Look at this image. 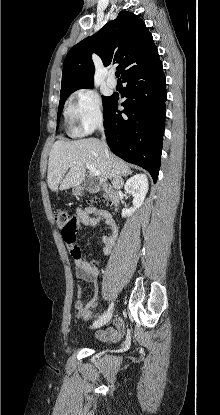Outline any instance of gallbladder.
I'll list each match as a JSON object with an SVG mask.
<instances>
[{"label":"gallbladder","instance_id":"1","mask_svg":"<svg viewBox=\"0 0 220 415\" xmlns=\"http://www.w3.org/2000/svg\"><path fill=\"white\" fill-rule=\"evenodd\" d=\"M85 185H86L87 188H93L94 187V185L89 180H86Z\"/></svg>","mask_w":220,"mask_h":415}]
</instances>
